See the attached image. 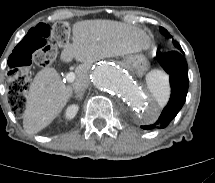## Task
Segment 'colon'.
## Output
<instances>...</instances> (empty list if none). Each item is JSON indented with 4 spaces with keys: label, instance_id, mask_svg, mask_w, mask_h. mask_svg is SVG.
<instances>
[{
    "label": "colon",
    "instance_id": "1",
    "mask_svg": "<svg viewBox=\"0 0 215 183\" xmlns=\"http://www.w3.org/2000/svg\"><path fill=\"white\" fill-rule=\"evenodd\" d=\"M69 36V27L64 22L49 26L44 21L35 23L23 40H20L8 54L5 63L9 67L8 100L12 110L20 114L26 108V92L30 80L27 66L33 63L47 67L56 60V50L49 44L53 40L64 43Z\"/></svg>",
    "mask_w": 215,
    "mask_h": 183
}]
</instances>
